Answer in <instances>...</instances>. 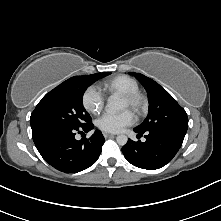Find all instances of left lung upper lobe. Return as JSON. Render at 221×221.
<instances>
[{
	"label": "left lung upper lobe",
	"mask_w": 221,
	"mask_h": 221,
	"mask_svg": "<svg viewBox=\"0 0 221 221\" xmlns=\"http://www.w3.org/2000/svg\"><path fill=\"white\" fill-rule=\"evenodd\" d=\"M144 86L149 98V113L144 122L135 129L141 133L177 129L187 131L188 117L185 110L158 83L140 73H134Z\"/></svg>",
	"instance_id": "5c2ea615"
}]
</instances>
